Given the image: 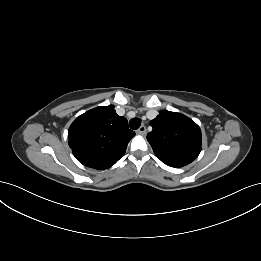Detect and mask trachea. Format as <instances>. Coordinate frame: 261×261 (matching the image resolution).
<instances>
[{"label":"trachea","mask_w":261,"mask_h":261,"mask_svg":"<svg viewBox=\"0 0 261 261\" xmlns=\"http://www.w3.org/2000/svg\"><path fill=\"white\" fill-rule=\"evenodd\" d=\"M130 128L136 130L141 125V120L139 118H132L129 122Z\"/></svg>","instance_id":"3493384b"}]
</instances>
